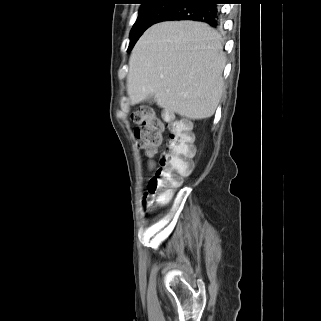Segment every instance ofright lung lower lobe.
<instances>
[{
	"mask_svg": "<svg viewBox=\"0 0 321 321\" xmlns=\"http://www.w3.org/2000/svg\"><path fill=\"white\" fill-rule=\"evenodd\" d=\"M220 0H186L175 4L159 18V22L170 20L201 21L216 28L220 26Z\"/></svg>",
	"mask_w": 321,
	"mask_h": 321,
	"instance_id": "1",
	"label": "right lung lower lobe"
}]
</instances>
